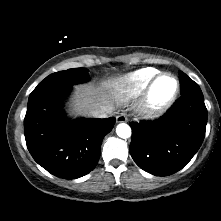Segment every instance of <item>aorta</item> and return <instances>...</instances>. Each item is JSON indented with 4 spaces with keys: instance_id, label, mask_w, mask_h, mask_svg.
I'll return each instance as SVG.
<instances>
[{
    "instance_id": "762f6f07",
    "label": "aorta",
    "mask_w": 221,
    "mask_h": 221,
    "mask_svg": "<svg viewBox=\"0 0 221 221\" xmlns=\"http://www.w3.org/2000/svg\"><path fill=\"white\" fill-rule=\"evenodd\" d=\"M116 133L120 138L126 139L131 136V128L126 123H120L116 127Z\"/></svg>"
}]
</instances>
